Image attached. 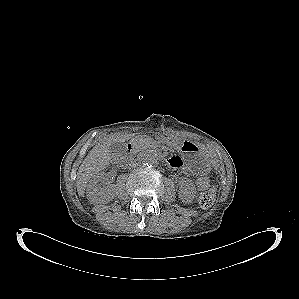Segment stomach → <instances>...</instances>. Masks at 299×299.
I'll return each instance as SVG.
<instances>
[{
  "instance_id": "0dacf381",
  "label": "stomach",
  "mask_w": 299,
  "mask_h": 299,
  "mask_svg": "<svg viewBox=\"0 0 299 299\" xmlns=\"http://www.w3.org/2000/svg\"><path fill=\"white\" fill-rule=\"evenodd\" d=\"M165 142L181 150L187 158L188 165L197 172H203L209 165V154L199 145L191 141H177L173 138H166Z\"/></svg>"
}]
</instances>
